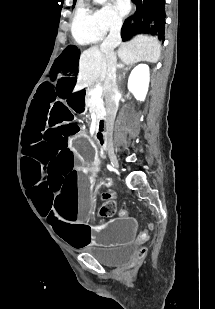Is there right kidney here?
Returning <instances> with one entry per match:
<instances>
[{
	"mask_svg": "<svg viewBox=\"0 0 215 309\" xmlns=\"http://www.w3.org/2000/svg\"><path fill=\"white\" fill-rule=\"evenodd\" d=\"M150 80V70L148 64H137L133 68L128 78V88L133 92L135 98L144 100Z\"/></svg>",
	"mask_w": 215,
	"mask_h": 309,
	"instance_id": "obj_1",
	"label": "right kidney"
}]
</instances>
